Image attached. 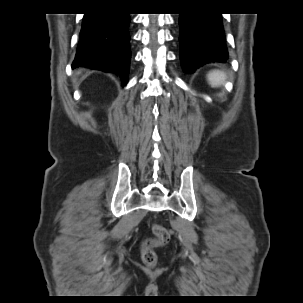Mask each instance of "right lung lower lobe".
Instances as JSON below:
<instances>
[{"mask_svg": "<svg viewBox=\"0 0 303 303\" xmlns=\"http://www.w3.org/2000/svg\"><path fill=\"white\" fill-rule=\"evenodd\" d=\"M129 23L130 16L125 13L85 14L72 67L115 73L127 83L131 60Z\"/></svg>", "mask_w": 303, "mask_h": 303, "instance_id": "98d812e1", "label": "right lung lower lobe"}]
</instances>
